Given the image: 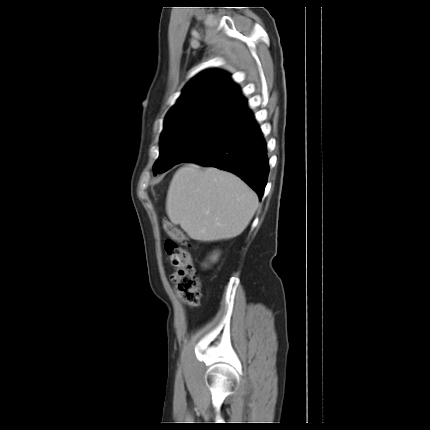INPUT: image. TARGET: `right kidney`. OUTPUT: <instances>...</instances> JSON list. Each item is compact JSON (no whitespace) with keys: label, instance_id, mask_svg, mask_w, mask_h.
Listing matches in <instances>:
<instances>
[{"label":"right kidney","instance_id":"1","mask_svg":"<svg viewBox=\"0 0 430 430\" xmlns=\"http://www.w3.org/2000/svg\"><path fill=\"white\" fill-rule=\"evenodd\" d=\"M216 257H217V255L213 258V260H215V259H216Z\"/></svg>","mask_w":430,"mask_h":430}]
</instances>
